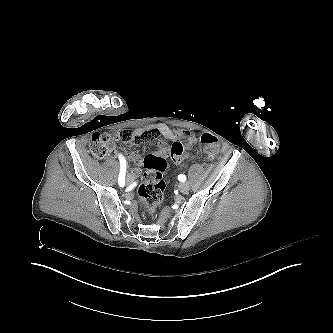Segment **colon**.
<instances>
[{"label":"colon","mask_w":333,"mask_h":333,"mask_svg":"<svg viewBox=\"0 0 333 333\" xmlns=\"http://www.w3.org/2000/svg\"><path fill=\"white\" fill-rule=\"evenodd\" d=\"M159 136V131L155 127L148 128L145 133L138 132L135 135L129 131L124 130L120 134V139L124 144L133 146H140L148 142L155 141ZM119 136L117 132L103 128L99 130L98 134H94L90 140V150L94 157L104 158L114 148ZM214 139L206 137L203 140L204 150L207 154L216 157L219 154V148ZM153 144V143H152ZM155 145V144H154ZM151 151L154 149V155L147 153L143 158V183L138 190L140 197V209L147 215H155L159 210L160 204L163 199L164 183L162 181V172L166 168L167 153H171L172 158L181 161L186 157V151L180 143H176L173 148L171 146H164L156 144L154 148H149Z\"/></svg>","instance_id":"5ec220e1"}]
</instances>
